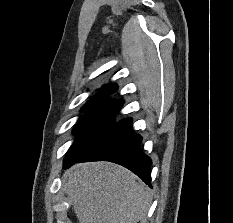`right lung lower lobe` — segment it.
<instances>
[{"label": "right lung lower lobe", "mask_w": 233, "mask_h": 223, "mask_svg": "<svg viewBox=\"0 0 233 223\" xmlns=\"http://www.w3.org/2000/svg\"><path fill=\"white\" fill-rule=\"evenodd\" d=\"M132 119H122L115 123L89 149L81 155H66L64 167L68 168L75 162L111 161L120 164L151 186L149 171L151 159L140 149V135L131 129Z\"/></svg>", "instance_id": "1"}]
</instances>
